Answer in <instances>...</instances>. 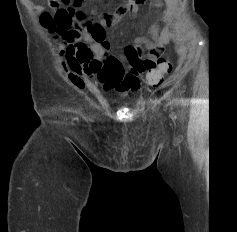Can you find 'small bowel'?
<instances>
[{"label":"small bowel","instance_id":"1","mask_svg":"<svg viewBox=\"0 0 237 232\" xmlns=\"http://www.w3.org/2000/svg\"><path fill=\"white\" fill-rule=\"evenodd\" d=\"M166 9L161 16V23L154 24L146 36L140 39L146 52L140 46L127 45L123 58H118L110 51V42L104 27L114 25L120 18L116 14H107L102 18V29L98 32L79 35L65 40L67 46L60 50L63 56L62 67L70 82L78 88L84 87V78L95 79L103 89L131 93L141 87V75L154 69L164 53L170 36V25L176 12L177 0H155ZM126 61L127 66H124Z\"/></svg>","mask_w":237,"mask_h":232}]
</instances>
